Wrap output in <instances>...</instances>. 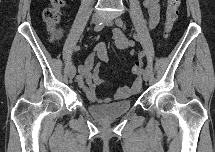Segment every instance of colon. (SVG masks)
I'll return each mask as SVG.
<instances>
[{
    "mask_svg": "<svg viewBox=\"0 0 215 152\" xmlns=\"http://www.w3.org/2000/svg\"><path fill=\"white\" fill-rule=\"evenodd\" d=\"M65 4L64 0H52L50 4L44 8L42 18L51 33V40L55 41L60 36L58 23L60 14ZM180 0H167L165 11V37L168 36L172 26L176 22L179 14ZM142 71L141 62H136L132 67V73L136 76Z\"/></svg>",
    "mask_w": 215,
    "mask_h": 152,
    "instance_id": "1",
    "label": "colon"
}]
</instances>
